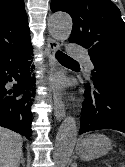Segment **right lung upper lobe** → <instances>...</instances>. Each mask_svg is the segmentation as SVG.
I'll use <instances>...</instances> for the list:
<instances>
[{
    "label": "right lung upper lobe",
    "mask_w": 125,
    "mask_h": 167,
    "mask_svg": "<svg viewBox=\"0 0 125 167\" xmlns=\"http://www.w3.org/2000/svg\"><path fill=\"white\" fill-rule=\"evenodd\" d=\"M30 41L24 0H0V51Z\"/></svg>",
    "instance_id": "obj_1"
}]
</instances>
